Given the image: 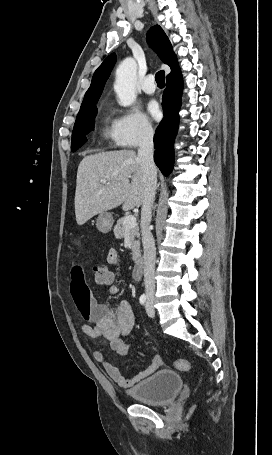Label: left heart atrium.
I'll use <instances>...</instances> for the list:
<instances>
[{
  "label": "left heart atrium",
  "instance_id": "39dd6f15",
  "mask_svg": "<svg viewBox=\"0 0 272 455\" xmlns=\"http://www.w3.org/2000/svg\"><path fill=\"white\" fill-rule=\"evenodd\" d=\"M147 108L152 117L158 118L160 116V108L156 101H150Z\"/></svg>",
  "mask_w": 272,
  "mask_h": 455
}]
</instances>
